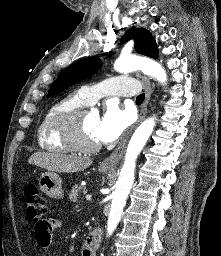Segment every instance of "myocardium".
<instances>
[{"instance_id": "1", "label": "myocardium", "mask_w": 221, "mask_h": 256, "mask_svg": "<svg viewBox=\"0 0 221 256\" xmlns=\"http://www.w3.org/2000/svg\"><path fill=\"white\" fill-rule=\"evenodd\" d=\"M87 113L88 110L86 107H82L75 111L65 123L63 134L74 150L83 153H93L100 149V144L87 143L82 136V122Z\"/></svg>"}]
</instances>
